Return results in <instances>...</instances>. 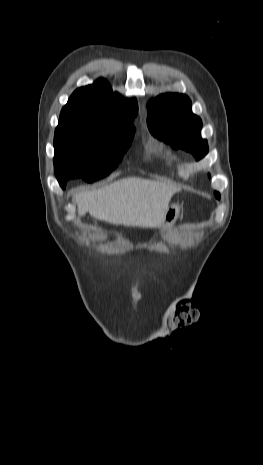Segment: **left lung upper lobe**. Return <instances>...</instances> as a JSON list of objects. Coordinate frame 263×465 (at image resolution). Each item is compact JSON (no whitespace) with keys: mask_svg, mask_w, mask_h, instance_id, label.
<instances>
[{"mask_svg":"<svg viewBox=\"0 0 263 465\" xmlns=\"http://www.w3.org/2000/svg\"><path fill=\"white\" fill-rule=\"evenodd\" d=\"M147 124L154 136L191 152L197 160L208 153L207 141L200 135L202 121L192 113L186 95L167 93L156 97L149 106ZM215 196L220 198L218 192Z\"/></svg>","mask_w":263,"mask_h":465,"instance_id":"1","label":"left lung upper lobe"}]
</instances>
